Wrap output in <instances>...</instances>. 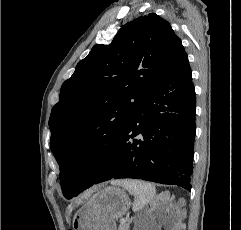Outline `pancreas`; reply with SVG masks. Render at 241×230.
<instances>
[{
	"mask_svg": "<svg viewBox=\"0 0 241 230\" xmlns=\"http://www.w3.org/2000/svg\"><path fill=\"white\" fill-rule=\"evenodd\" d=\"M118 230H129V224L125 223L123 225H120Z\"/></svg>",
	"mask_w": 241,
	"mask_h": 230,
	"instance_id": "obj_1",
	"label": "pancreas"
}]
</instances>
